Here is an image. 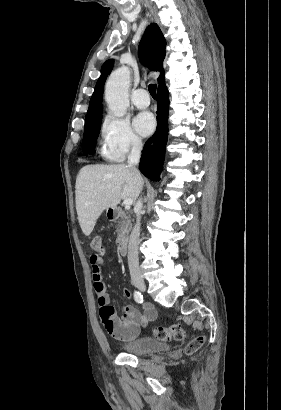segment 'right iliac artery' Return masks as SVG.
Returning <instances> with one entry per match:
<instances>
[{"mask_svg":"<svg viewBox=\"0 0 281 410\" xmlns=\"http://www.w3.org/2000/svg\"><path fill=\"white\" fill-rule=\"evenodd\" d=\"M134 299L137 303H143V296L139 291H134Z\"/></svg>","mask_w":281,"mask_h":410,"instance_id":"right-iliac-artery-1","label":"right iliac artery"}]
</instances>
